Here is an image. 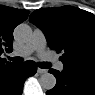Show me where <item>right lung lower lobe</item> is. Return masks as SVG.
I'll list each match as a JSON object with an SVG mask.
<instances>
[{"instance_id":"1","label":"right lung lower lobe","mask_w":95,"mask_h":95,"mask_svg":"<svg viewBox=\"0 0 95 95\" xmlns=\"http://www.w3.org/2000/svg\"><path fill=\"white\" fill-rule=\"evenodd\" d=\"M33 61L16 64L0 73V95H21L25 80L36 73Z\"/></svg>"}]
</instances>
